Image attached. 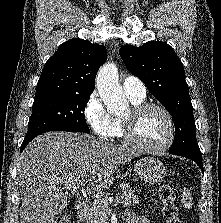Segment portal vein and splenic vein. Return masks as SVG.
<instances>
[{
  "label": "portal vein and splenic vein",
  "instance_id": "18ae733b",
  "mask_svg": "<svg viewBox=\"0 0 221 223\" xmlns=\"http://www.w3.org/2000/svg\"><path fill=\"white\" fill-rule=\"evenodd\" d=\"M65 187L68 189V190H72V191H81L84 193V190H83V187H84V184L83 183H77V184H74V183H70V182H65ZM120 201V197H118L116 199V203H119Z\"/></svg>",
  "mask_w": 221,
  "mask_h": 223
}]
</instances>
